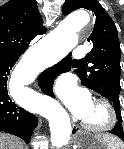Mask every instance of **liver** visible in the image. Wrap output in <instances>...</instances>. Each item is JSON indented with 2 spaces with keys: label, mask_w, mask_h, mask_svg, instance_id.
<instances>
[{
  "label": "liver",
  "mask_w": 124,
  "mask_h": 149,
  "mask_svg": "<svg viewBox=\"0 0 124 149\" xmlns=\"http://www.w3.org/2000/svg\"><path fill=\"white\" fill-rule=\"evenodd\" d=\"M0 149H23V146L17 138L0 134Z\"/></svg>",
  "instance_id": "1"
}]
</instances>
